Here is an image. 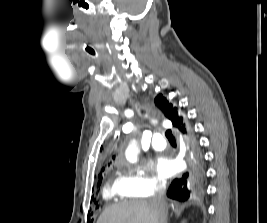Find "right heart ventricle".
<instances>
[{"mask_svg":"<svg viewBox=\"0 0 267 223\" xmlns=\"http://www.w3.org/2000/svg\"><path fill=\"white\" fill-rule=\"evenodd\" d=\"M103 196L106 200L110 201H116L117 199L129 196L126 190L122 187L121 177H117L105 186Z\"/></svg>","mask_w":267,"mask_h":223,"instance_id":"e07e8e85","label":"right heart ventricle"}]
</instances>
